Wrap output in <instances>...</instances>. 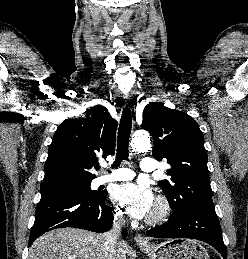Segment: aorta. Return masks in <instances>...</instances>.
I'll use <instances>...</instances> for the list:
<instances>
[{
  "mask_svg": "<svg viewBox=\"0 0 248 259\" xmlns=\"http://www.w3.org/2000/svg\"><path fill=\"white\" fill-rule=\"evenodd\" d=\"M131 147L134 151L144 152L151 147V142L146 134H136L131 140Z\"/></svg>",
  "mask_w": 248,
  "mask_h": 259,
  "instance_id": "obj_1",
  "label": "aorta"
}]
</instances>
